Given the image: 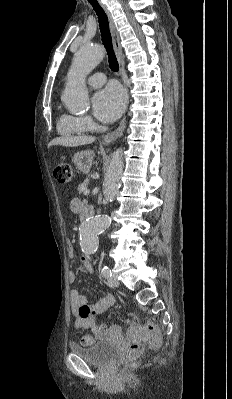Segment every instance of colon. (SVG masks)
I'll return each instance as SVG.
<instances>
[{
  "label": "colon",
  "mask_w": 232,
  "mask_h": 399,
  "mask_svg": "<svg viewBox=\"0 0 232 399\" xmlns=\"http://www.w3.org/2000/svg\"><path fill=\"white\" fill-rule=\"evenodd\" d=\"M55 179L59 180V185L73 184V167H70V162L56 163ZM146 328H155V321H146ZM130 340H120L121 353H144L146 330L142 326H137L136 321H129ZM79 344L83 347H96L97 343L92 342V337L87 335H79ZM141 358H134L133 355H128L124 362L125 368H130L131 365H141Z\"/></svg>",
  "instance_id": "colon-1"
}]
</instances>
